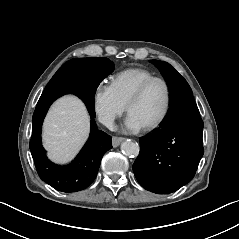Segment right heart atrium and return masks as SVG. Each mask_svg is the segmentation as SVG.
<instances>
[{
	"instance_id": "d8ad5b80",
	"label": "right heart atrium",
	"mask_w": 239,
	"mask_h": 239,
	"mask_svg": "<svg viewBox=\"0 0 239 239\" xmlns=\"http://www.w3.org/2000/svg\"><path fill=\"white\" fill-rule=\"evenodd\" d=\"M93 108L101 122L112 127L126 110L111 84H97L93 91Z\"/></svg>"
}]
</instances>
